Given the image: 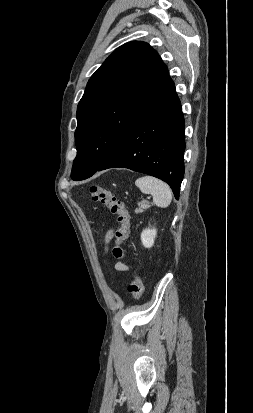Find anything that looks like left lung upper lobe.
Masks as SVG:
<instances>
[{
  "label": "left lung upper lobe",
  "mask_w": 253,
  "mask_h": 413,
  "mask_svg": "<svg viewBox=\"0 0 253 413\" xmlns=\"http://www.w3.org/2000/svg\"><path fill=\"white\" fill-rule=\"evenodd\" d=\"M166 65L145 42L116 49L89 79L77 108V156L71 178L95 173L171 83Z\"/></svg>",
  "instance_id": "1"
}]
</instances>
